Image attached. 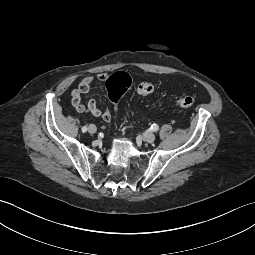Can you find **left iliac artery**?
Returning a JSON list of instances; mask_svg holds the SVG:
<instances>
[{"instance_id": "obj_1", "label": "left iliac artery", "mask_w": 255, "mask_h": 255, "mask_svg": "<svg viewBox=\"0 0 255 255\" xmlns=\"http://www.w3.org/2000/svg\"><path fill=\"white\" fill-rule=\"evenodd\" d=\"M158 125L157 124H153L152 126H151V129H152V131H154V132H156L157 130H158Z\"/></svg>"}]
</instances>
